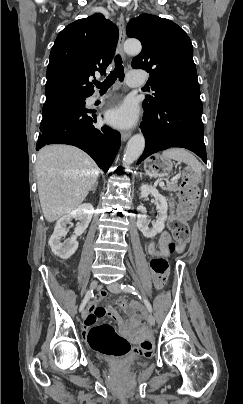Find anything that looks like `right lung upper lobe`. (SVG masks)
Wrapping results in <instances>:
<instances>
[{
    "label": "right lung upper lobe",
    "instance_id": "cb5924a9",
    "mask_svg": "<svg viewBox=\"0 0 243 404\" xmlns=\"http://www.w3.org/2000/svg\"><path fill=\"white\" fill-rule=\"evenodd\" d=\"M118 28L102 14L79 19L57 36L50 52L45 104L94 93L89 79L105 74L118 41Z\"/></svg>",
    "mask_w": 243,
    "mask_h": 404
}]
</instances>
